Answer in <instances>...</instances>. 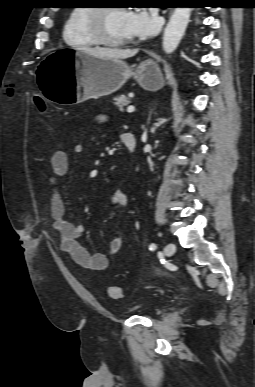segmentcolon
I'll return each mask as SVG.
<instances>
[{
	"mask_svg": "<svg viewBox=\"0 0 255 387\" xmlns=\"http://www.w3.org/2000/svg\"><path fill=\"white\" fill-rule=\"evenodd\" d=\"M14 93V88L10 87L7 90V94L9 96H12ZM36 106L39 108L40 111L44 112L46 110V105L43 99L39 97H35L34 99ZM108 295L112 299H119L122 297V290L118 286H109L107 289Z\"/></svg>",
	"mask_w": 255,
	"mask_h": 387,
	"instance_id": "1",
	"label": "colon"
}]
</instances>
